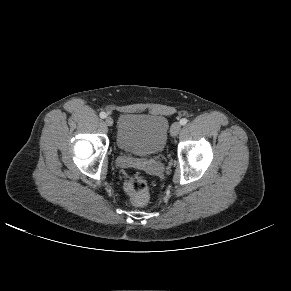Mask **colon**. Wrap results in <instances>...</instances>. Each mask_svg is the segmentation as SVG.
I'll use <instances>...</instances> for the list:
<instances>
[{"instance_id": "5ec220e1", "label": "colon", "mask_w": 291, "mask_h": 291, "mask_svg": "<svg viewBox=\"0 0 291 291\" xmlns=\"http://www.w3.org/2000/svg\"><path fill=\"white\" fill-rule=\"evenodd\" d=\"M124 190L134 205L141 206L149 200V184L142 176L131 175L124 183Z\"/></svg>"}]
</instances>
